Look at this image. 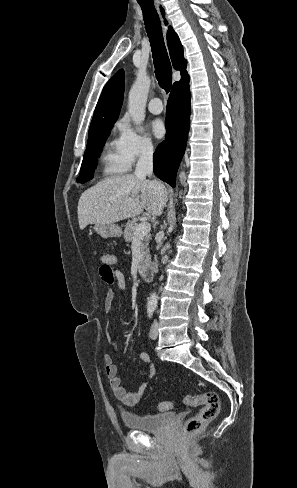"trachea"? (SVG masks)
I'll return each mask as SVG.
<instances>
[{"label":"trachea","instance_id":"obj_1","mask_svg":"<svg viewBox=\"0 0 297 488\" xmlns=\"http://www.w3.org/2000/svg\"><path fill=\"white\" fill-rule=\"evenodd\" d=\"M138 2L143 12L145 28L152 49L156 79L160 87L168 93L172 84V68L165 47L159 16L152 2L147 0H138Z\"/></svg>","mask_w":297,"mask_h":488}]
</instances>
